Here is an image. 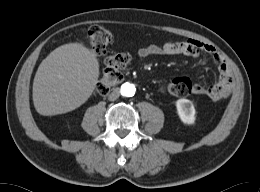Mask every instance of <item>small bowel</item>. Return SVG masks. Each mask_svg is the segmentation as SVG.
Returning <instances> with one entry per match:
<instances>
[{"instance_id":"obj_1","label":"small bowel","mask_w":260,"mask_h":192,"mask_svg":"<svg viewBox=\"0 0 260 192\" xmlns=\"http://www.w3.org/2000/svg\"><path fill=\"white\" fill-rule=\"evenodd\" d=\"M201 53L207 54L216 64L219 80L210 86L193 83L192 93L207 96L212 100H221L228 97L233 84L232 74L221 54L212 45L196 39H187L184 41H167L162 45L151 44L136 50V55L139 58H146L152 55L198 57Z\"/></svg>"}]
</instances>
